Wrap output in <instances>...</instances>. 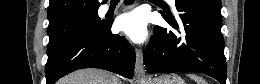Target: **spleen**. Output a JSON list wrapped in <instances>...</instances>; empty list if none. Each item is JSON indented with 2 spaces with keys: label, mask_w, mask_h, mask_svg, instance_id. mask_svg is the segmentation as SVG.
Segmentation results:
<instances>
[{
  "label": "spleen",
  "mask_w": 260,
  "mask_h": 84,
  "mask_svg": "<svg viewBox=\"0 0 260 84\" xmlns=\"http://www.w3.org/2000/svg\"><path fill=\"white\" fill-rule=\"evenodd\" d=\"M188 77H190L191 79H193L197 84H207V82L205 81V79H203L202 77L196 75V74H188Z\"/></svg>",
  "instance_id": "obj_1"
}]
</instances>
